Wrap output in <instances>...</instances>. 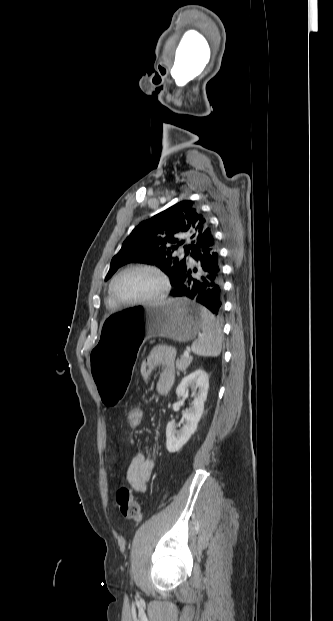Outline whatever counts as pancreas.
I'll use <instances>...</instances> for the list:
<instances>
[{"instance_id": "1", "label": "pancreas", "mask_w": 333, "mask_h": 621, "mask_svg": "<svg viewBox=\"0 0 333 621\" xmlns=\"http://www.w3.org/2000/svg\"><path fill=\"white\" fill-rule=\"evenodd\" d=\"M191 362H192L191 356L189 357L181 356L180 360L176 361V368L178 371L184 372L188 368Z\"/></svg>"}]
</instances>
